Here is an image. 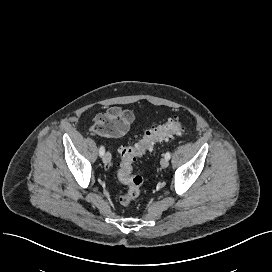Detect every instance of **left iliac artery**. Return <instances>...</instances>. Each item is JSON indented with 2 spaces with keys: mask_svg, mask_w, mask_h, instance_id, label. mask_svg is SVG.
I'll use <instances>...</instances> for the list:
<instances>
[{
  "mask_svg": "<svg viewBox=\"0 0 272 272\" xmlns=\"http://www.w3.org/2000/svg\"><path fill=\"white\" fill-rule=\"evenodd\" d=\"M170 157H171V153H170V152H167V153L165 154V158H167V159L169 160Z\"/></svg>",
  "mask_w": 272,
  "mask_h": 272,
  "instance_id": "44dca946",
  "label": "left iliac artery"
}]
</instances>
